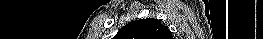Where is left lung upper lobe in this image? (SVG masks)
Here are the masks:
<instances>
[{
  "label": "left lung upper lobe",
  "instance_id": "5c2ea615",
  "mask_svg": "<svg viewBox=\"0 0 263 39\" xmlns=\"http://www.w3.org/2000/svg\"><path fill=\"white\" fill-rule=\"evenodd\" d=\"M115 39H173L170 30L159 20L146 18L126 24Z\"/></svg>",
  "mask_w": 263,
  "mask_h": 39
}]
</instances>
